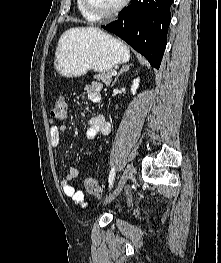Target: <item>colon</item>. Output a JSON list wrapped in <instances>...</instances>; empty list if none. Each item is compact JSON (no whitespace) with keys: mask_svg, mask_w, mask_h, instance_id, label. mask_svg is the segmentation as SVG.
Returning a JSON list of instances; mask_svg holds the SVG:
<instances>
[{"mask_svg":"<svg viewBox=\"0 0 221 263\" xmlns=\"http://www.w3.org/2000/svg\"><path fill=\"white\" fill-rule=\"evenodd\" d=\"M67 112V102L64 97H58L52 106L50 116L52 119H62L65 117ZM85 189L86 191L98 198L103 196V190L98 185L96 179L89 177L85 181Z\"/></svg>","mask_w":221,"mask_h":263,"instance_id":"colon-1","label":"colon"}]
</instances>
